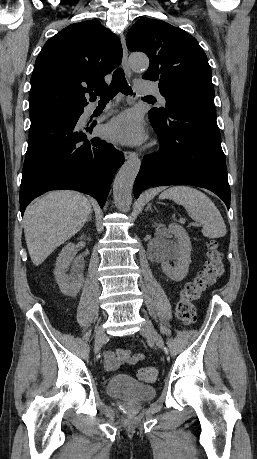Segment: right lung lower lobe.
Returning <instances> with one entry per match:
<instances>
[{"instance_id": "98d812e1", "label": "right lung lower lobe", "mask_w": 257, "mask_h": 459, "mask_svg": "<svg viewBox=\"0 0 257 459\" xmlns=\"http://www.w3.org/2000/svg\"><path fill=\"white\" fill-rule=\"evenodd\" d=\"M83 113L30 115L28 149L20 187V211L49 190L71 189L96 198L101 208L124 155L112 144L90 137L96 124L80 127Z\"/></svg>"}]
</instances>
